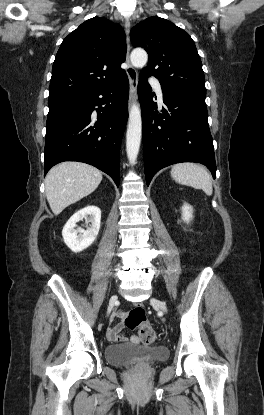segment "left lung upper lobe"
<instances>
[{"label":"left lung upper lobe","instance_id":"obj_1","mask_svg":"<svg viewBox=\"0 0 264 415\" xmlns=\"http://www.w3.org/2000/svg\"><path fill=\"white\" fill-rule=\"evenodd\" d=\"M130 37L134 47H143L149 55L140 74L155 76L161 85L206 90L201 59L187 32L153 16L134 26Z\"/></svg>","mask_w":264,"mask_h":415}]
</instances>
